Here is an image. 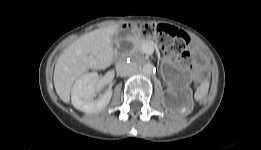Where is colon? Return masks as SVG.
Listing matches in <instances>:
<instances>
[{"label": "colon", "mask_w": 261, "mask_h": 150, "mask_svg": "<svg viewBox=\"0 0 261 150\" xmlns=\"http://www.w3.org/2000/svg\"><path fill=\"white\" fill-rule=\"evenodd\" d=\"M140 33L155 39L158 47L173 56L177 65L186 68L190 65L191 56L187 50L188 35L169 25H155L150 23L138 26Z\"/></svg>", "instance_id": "1"}]
</instances>
